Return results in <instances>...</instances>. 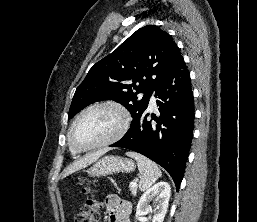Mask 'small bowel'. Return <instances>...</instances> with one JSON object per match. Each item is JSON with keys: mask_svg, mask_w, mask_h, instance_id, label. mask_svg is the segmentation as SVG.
<instances>
[{"mask_svg": "<svg viewBox=\"0 0 257 222\" xmlns=\"http://www.w3.org/2000/svg\"><path fill=\"white\" fill-rule=\"evenodd\" d=\"M105 206L109 214V222H129L131 206L128 202L110 195L106 198Z\"/></svg>", "mask_w": 257, "mask_h": 222, "instance_id": "c3829d8e", "label": "small bowel"}]
</instances>
